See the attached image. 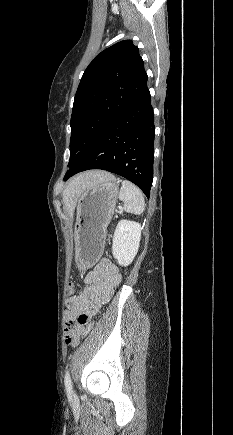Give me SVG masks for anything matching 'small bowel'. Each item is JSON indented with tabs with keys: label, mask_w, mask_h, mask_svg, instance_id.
<instances>
[{
	"label": "small bowel",
	"mask_w": 233,
	"mask_h": 435,
	"mask_svg": "<svg viewBox=\"0 0 233 435\" xmlns=\"http://www.w3.org/2000/svg\"><path fill=\"white\" fill-rule=\"evenodd\" d=\"M121 281L115 264L107 259L100 260L85 277L86 286L78 296L66 300L65 326L72 328L74 336L80 338L88 333L90 320L111 300L114 289Z\"/></svg>",
	"instance_id": "1"
}]
</instances>
